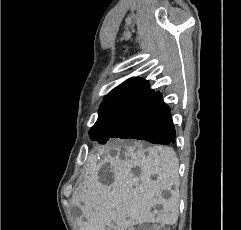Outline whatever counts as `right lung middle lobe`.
Masks as SVG:
<instances>
[{
	"instance_id": "obj_1",
	"label": "right lung middle lobe",
	"mask_w": 241,
	"mask_h": 230,
	"mask_svg": "<svg viewBox=\"0 0 241 230\" xmlns=\"http://www.w3.org/2000/svg\"><path fill=\"white\" fill-rule=\"evenodd\" d=\"M145 108L146 105L135 112L113 111L100 116L89 132L90 137L100 144H105L113 138L136 139V128L144 123Z\"/></svg>"
}]
</instances>
